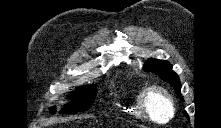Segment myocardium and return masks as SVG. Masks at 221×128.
Wrapping results in <instances>:
<instances>
[{
    "label": "myocardium",
    "mask_w": 221,
    "mask_h": 128,
    "mask_svg": "<svg viewBox=\"0 0 221 128\" xmlns=\"http://www.w3.org/2000/svg\"><path fill=\"white\" fill-rule=\"evenodd\" d=\"M156 100L163 101L168 107V117L163 121L157 120L154 116L152 104ZM140 105L142 114L153 122L167 123L175 114V105L170 93L160 85H150L146 87L141 94Z\"/></svg>",
    "instance_id": "f54148a6"
}]
</instances>
